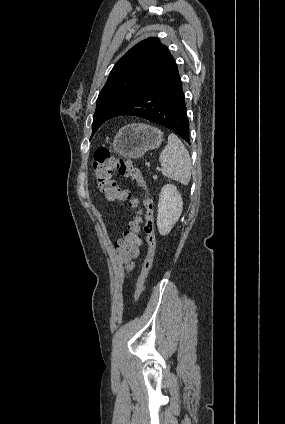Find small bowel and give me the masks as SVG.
<instances>
[{
  "label": "small bowel",
  "instance_id": "small-bowel-1",
  "mask_svg": "<svg viewBox=\"0 0 285 424\" xmlns=\"http://www.w3.org/2000/svg\"><path fill=\"white\" fill-rule=\"evenodd\" d=\"M138 255H139V247L137 248L136 254L133 258L137 257ZM124 264H125L126 272H131L135 267V264L131 261V259H129V260L124 259Z\"/></svg>",
  "mask_w": 285,
  "mask_h": 424
}]
</instances>
